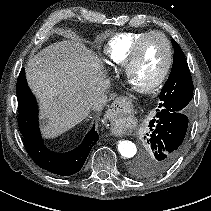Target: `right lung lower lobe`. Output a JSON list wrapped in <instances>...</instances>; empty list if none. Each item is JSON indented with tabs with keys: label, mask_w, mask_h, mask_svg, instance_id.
<instances>
[{
	"label": "right lung lower lobe",
	"mask_w": 211,
	"mask_h": 211,
	"mask_svg": "<svg viewBox=\"0 0 211 211\" xmlns=\"http://www.w3.org/2000/svg\"><path fill=\"white\" fill-rule=\"evenodd\" d=\"M16 92L19 130L32 160L39 167L57 175L69 176L77 173L99 139L95 127L89 131L83 142L74 150L66 153L52 152L45 147L41 138L38 124V106L27 85L24 68L19 74Z\"/></svg>",
	"instance_id": "right-lung-lower-lobe-1"
}]
</instances>
